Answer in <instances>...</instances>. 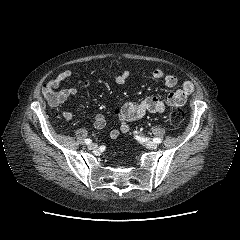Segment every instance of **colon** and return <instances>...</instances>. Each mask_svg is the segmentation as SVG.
Wrapping results in <instances>:
<instances>
[{"instance_id": "1", "label": "colon", "mask_w": 240, "mask_h": 240, "mask_svg": "<svg viewBox=\"0 0 240 240\" xmlns=\"http://www.w3.org/2000/svg\"><path fill=\"white\" fill-rule=\"evenodd\" d=\"M51 100L54 102L55 98L51 96ZM167 120L172 125H179L184 120V112L179 108H173L168 112Z\"/></svg>"}]
</instances>
